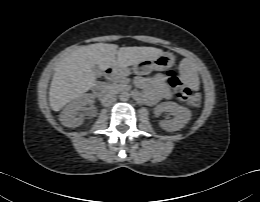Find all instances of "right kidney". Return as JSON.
<instances>
[{
  "label": "right kidney",
  "mask_w": 260,
  "mask_h": 202,
  "mask_svg": "<svg viewBox=\"0 0 260 202\" xmlns=\"http://www.w3.org/2000/svg\"><path fill=\"white\" fill-rule=\"evenodd\" d=\"M92 94H83L80 97L69 103L66 108L60 114V121L66 127H78L80 126L84 119L85 114L81 111L84 110L86 105H91L93 103Z\"/></svg>",
  "instance_id": "ca27d5eb"
}]
</instances>
